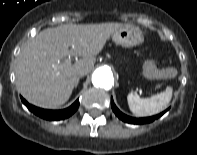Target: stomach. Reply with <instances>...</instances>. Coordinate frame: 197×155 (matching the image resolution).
Segmentation results:
<instances>
[{"label":"stomach","instance_id":"obj_1","mask_svg":"<svg viewBox=\"0 0 197 155\" xmlns=\"http://www.w3.org/2000/svg\"><path fill=\"white\" fill-rule=\"evenodd\" d=\"M112 39L124 47H133L140 45L144 37L139 28L127 24L116 29L112 34Z\"/></svg>","mask_w":197,"mask_h":155}]
</instances>
